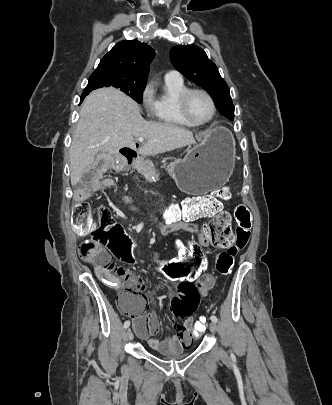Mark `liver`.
Listing matches in <instances>:
<instances>
[{
    "label": "liver",
    "instance_id": "1",
    "mask_svg": "<svg viewBox=\"0 0 332 405\" xmlns=\"http://www.w3.org/2000/svg\"><path fill=\"white\" fill-rule=\"evenodd\" d=\"M139 137L146 140L138 149L144 157L196 143L193 133L185 128L145 121L139 106L118 89L91 92L83 102L70 147L71 184L81 180L99 152L106 154L104 158L111 166L112 156L123 147H134V138Z\"/></svg>",
    "mask_w": 332,
    "mask_h": 405
}]
</instances>
